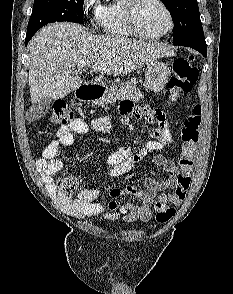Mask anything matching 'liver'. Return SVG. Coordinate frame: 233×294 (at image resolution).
<instances>
[{
    "instance_id": "6515ba94",
    "label": "liver",
    "mask_w": 233,
    "mask_h": 294,
    "mask_svg": "<svg viewBox=\"0 0 233 294\" xmlns=\"http://www.w3.org/2000/svg\"><path fill=\"white\" fill-rule=\"evenodd\" d=\"M31 103L61 99L78 89L77 65L88 61L93 72L122 76L171 55L161 43L124 37L92 35L75 23H53L42 28L28 44Z\"/></svg>"
}]
</instances>
